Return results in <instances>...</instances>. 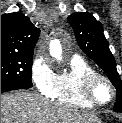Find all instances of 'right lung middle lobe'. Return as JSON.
<instances>
[{"instance_id": "right-lung-middle-lobe-1", "label": "right lung middle lobe", "mask_w": 122, "mask_h": 123, "mask_svg": "<svg viewBox=\"0 0 122 123\" xmlns=\"http://www.w3.org/2000/svg\"><path fill=\"white\" fill-rule=\"evenodd\" d=\"M32 54L1 53V81H12L32 87Z\"/></svg>"}]
</instances>
